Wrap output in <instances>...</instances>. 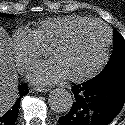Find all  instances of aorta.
I'll return each instance as SVG.
<instances>
[{
  "label": "aorta",
  "mask_w": 125,
  "mask_h": 125,
  "mask_svg": "<svg viewBox=\"0 0 125 125\" xmlns=\"http://www.w3.org/2000/svg\"><path fill=\"white\" fill-rule=\"evenodd\" d=\"M73 102L74 98L72 93L64 88L54 89L48 98L50 108L56 113L68 112L71 109Z\"/></svg>",
  "instance_id": "obj_1"
}]
</instances>
